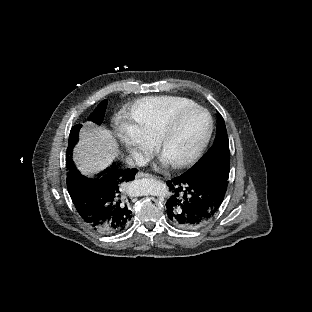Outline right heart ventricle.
<instances>
[{
    "label": "right heart ventricle",
    "mask_w": 312,
    "mask_h": 312,
    "mask_svg": "<svg viewBox=\"0 0 312 312\" xmlns=\"http://www.w3.org/2000/svg\"><path fill=\"white\" fill-rule=\"evenodd\" d=\"M195 105V98L190 93L150 94L140 93L125 103L129 120L136 125V131L146 145H154L159 140V130Z\"/></svg>",
    "instance_id": "1"
}]
</instances>
